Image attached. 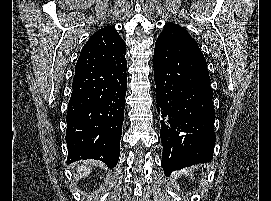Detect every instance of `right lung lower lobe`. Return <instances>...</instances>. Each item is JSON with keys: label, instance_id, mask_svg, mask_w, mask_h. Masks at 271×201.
<instances>
[{"label": "right lung lower lobe", "instance_id": "obj_1", "mask_svg": "<svg viewBox=\"0 0 271 201\" xmlns=\"http://www.w3.org/2000/svg\"><path fill=\"white\" fill-rule=\"evenodd\" d=\"M123 39L95 33L75 67L68 104L67 163L81 159L117 165L127 89Z\"/></svg>", "mask_w": 271, "mask_h": 201}]
</instances>
